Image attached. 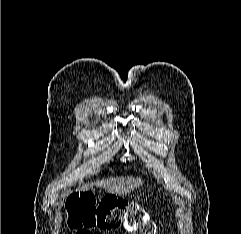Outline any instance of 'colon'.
<instances>
[{
  "label": "colon",
  "instance_id": "5ec220e1",
  "mask_svg": "<svg viewBox=\"0 0 241 234\" xmlns=\"http://www.w3.org/2000/svg\"><path fill=\"white\" fill-rule=\"evenodd\" d=\"M66 208L69 226L78 231L122 226L131 234L155 232V225L144 209L115 197L97 200L92 194H74L68 199Z\"/></svg>",
  "mask_w": 241,
  "mask_h": 234
}]
</instances>
